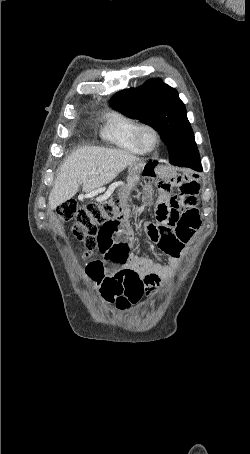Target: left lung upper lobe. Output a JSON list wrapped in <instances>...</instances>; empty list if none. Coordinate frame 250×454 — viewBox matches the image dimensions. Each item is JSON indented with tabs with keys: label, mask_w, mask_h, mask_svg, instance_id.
Masks as SVG:
<instances>
[{
	"label": "left lung upper lobe",
	"mask_w": 250,
	"mask_h": 454,
	"mask_svg": "<svg viewBox=\"0 0 250 454\" xmlns=\"http://www.w3.org/2000/svg\"><path fill=\"white\" fill-rule=\"evenodd\" d=\"M109 103L113 109L158 131L167 145L169 158L177 154L199 156L186 108L176 89L162 80L154 78L136 89L122 90Z\"/></svg>",
	"instance_id": "5c2ea615"
}]
</instances>
